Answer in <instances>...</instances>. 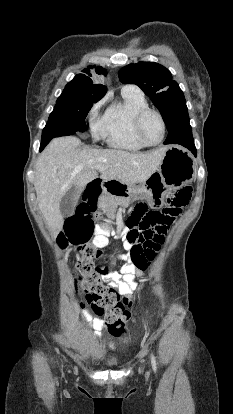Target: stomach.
I'll use <instances>...</instances> for the list:
<instances>
[{
	"label": "stomach",
	"instance_id": "obj_1",
	"mask_svg": "<svg viewBox=\"0 0 233 414\" xmlns=\"http://www.w3.org/2000/svg\"><path fill=\"white\" fill-rule=\"evenodd\" d=\"M194 170L195 165L189 153L178 147H168L158 170L149 174V179L138 186L119 183L114 195L121 196L127 202L145 197L150 205H158L169 191L190 182Z\"/></svg>",
	"mask_w": 233,
	"mask_h": 414
}]
</instances>
